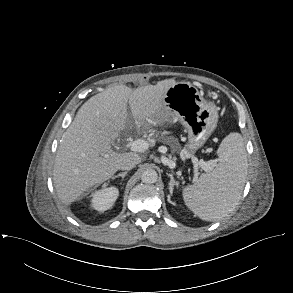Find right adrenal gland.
Listing matches in <instances>:
<instances>
[{
    "label": "right adrenal gland",
    "instance_id": "obj_1",
    "mask_svg": "<svg viewBox=\"0 0 293 293\" xmlns=\"http://www.w3.org/2000/svg\"><path fill=\"white\" fill-rule=\"evenodd\" d=\"M127 175V172H122V173H119L117 174L116 176L112 177V179H116L118 177H121L122 179H124V177Z\"/></svg>",
    "mask_w": 293,
    "mask_h": 293
}]
</instances>
